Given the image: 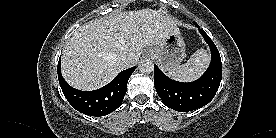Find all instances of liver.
I'll return each mask as SVG.
<instances>
[{"label": "liver", "mask_w": 276, "mask_h": 138, "mask_svg": "<svg viewBox=\"0 0 276 138\" xmlns=\"http://www.w3.org/2000/svg\"><path fill=\"white\" fill-rule=\"evenodd\" d=\"M177 31L176 22L164 10L149 8L92 20L67 40L61 58L62 75L76 89H98L135 64L145 47L160 45ZM122 54L132 58L129 66L119 61Z\"/></svg>", "instance_id": "obj_1"}]
</instances>
